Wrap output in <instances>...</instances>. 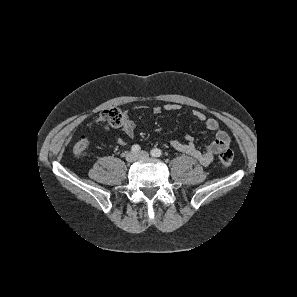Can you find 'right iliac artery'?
Listing matches in <instances>:
<instances>
[{"label":"right iliac artery","mask_w":297,"mask_h":297,"mask_svg":"<svg viewBox=\"0 0 297 297\" xmlns=\"http://www.w3.org/2000/svg\"><path fill=\"white\" fill-rule=\"evenodd\" d=\"M141 150L140 146L135 144L131 147V151L134 152V153H139Z\"/></svg>","instance_id":"right-iliac-artery-1"}]
</instances>
